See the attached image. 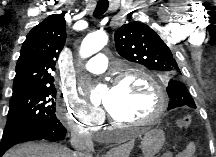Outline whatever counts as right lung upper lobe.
I'll return each instance as SVG.
<instances>
[{"mask_svg": "<svg viewBox=\"0 0 216 157\" xmlns=\"http://www.w3.org/2000/svg\"><path fill=\"white\" fill-rule=\"evenodd\" d=\"M65 41V19L60 14L50 15L28 33L16 65L13 95L24 90L54 87L50 71L55 70Z\"/></svg>", "mask_w": 216, "mask_h": 157, "instance_id": "right-lung-upper-lobe-1", "label": "right lung upper lobe"}]
</instances>
